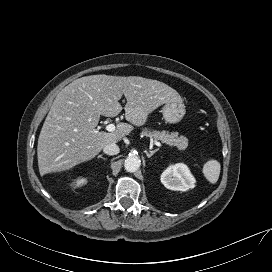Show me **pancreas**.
Segmentation results:
<instances>
[{
	"mask_svg": "<svg viewBox=\"0 0 272 272\" xmlns=\"http://www.w3.org/2000/svg\"><path fill=\"white\" fill-rule=\"evenodd\" d=\"M142 134L146 137L160 140L162 143H166L169 146H175L180 150H184L188 146V139L185 136H178V132H166V131H151L147 128L142 131Z\"/></svg>",
	"mask_w": 272,
	"mask_h": 272,
	"instance_id": "cf45deb5",
	"label": "pancreas"
}]
</instances>
